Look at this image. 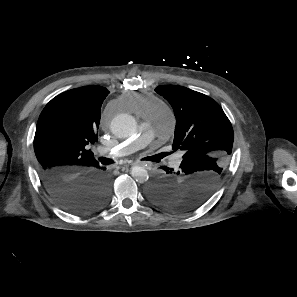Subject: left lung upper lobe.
<instances>
[{
    "instance_id": "1",
    "label": "left lung upper lobe",
    "mask_w": 297,
    "mask_h": 297,
    "mask_svg": "<svg viewBox=\"0 0 297 297\" xmlns=\"http://www.w3.org/2000/svg\"><path fill=\"white\" fill-rule=\"evenodd\" d=\"M172 106L176 128L172 148L184 152L180 174L170 175L167 187H150L149 198L174 211L200 207L225 175L232 152V125L219 104L191 89L163 85L155 89Z\"/></svg>"
}]
</instances>
